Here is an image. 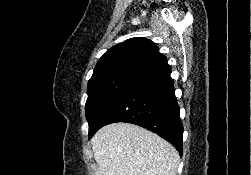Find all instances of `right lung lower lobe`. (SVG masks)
<instances>
[{
	"instance_id": "98d812e1",
	"label": "right lung lower lobe",
	"mask_w": 251,
	"mask_h": 175,
	"mask_svg": "<svg viewBox=\"0 0 251 175\" xmlns=\"http://www.w3.org/2000/svg\"><path fill=\"white\" fill-rule=\"evenodd\" d=\"M171 70L129 86L103 114L98 129L114 122L144 127L169 141L182 155L183 126Z\"/></svg>"
}]
</instances>
